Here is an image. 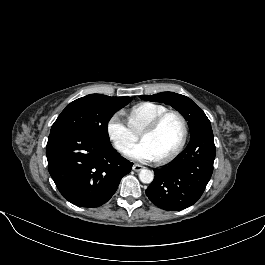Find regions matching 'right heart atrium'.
Instances as JSON below:
<instances>
[{"mask_svg":"<svg viewBox=\"0 0 265 265\" xmlns=\"http://www.w3.org/2000/svg\"><path fill=\"white\" fill-rule=\"evenodd\" d=\"M106 130L116 149L120 152L128 150L137 140L136 133L118 112L109 117Z\"/></svg>","mask_w":265,"mask_h":265,"instance_id":"obj_1","label":"right heart atrium"}]
</instances>
